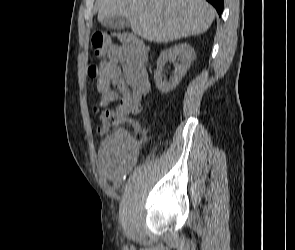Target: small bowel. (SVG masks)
<instances>
[{"instance_id": "obj_1", "label": "small bowel", "mask_w": 295, "mask_h": 250, "mask_svg": "<svg viewBox=\"0 0 295 250\" xmlns=\"http://www.w3.org/2000/svg\"><path fill=\"white\" fill-rule=\"evenodd\" d=\"M147 53L132 54L124 45L115 46L109 56L107 70L96 80L97 104L107 107L117 102V107L142 108L150 89L146 67ZM132 143L128 135L118 131L108 136L100 148V166L104 175L114 183L128 172Z\"/></svg>"}]
</instances>
